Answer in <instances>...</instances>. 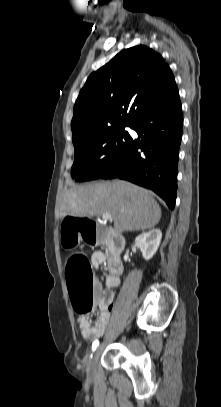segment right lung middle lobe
<instances>
[{
    "mask_svg": "<svg viewBox=\"0 0 221 407\" xmlns=\"http://www.w3.org/2000/svg\"><path fill=\"white\" fill-rule=\"evenodd\" d=\"M126 126H117L74 144V163L71 176L76 181H89L101 176L123 156L132 137L124 130Z\"/></svg>",
    "mask_w": 221,
    "mask_h": 407,
    "instance_id": "obj_1",
    "label": "right lung middle lobe"
}]
</instances>
